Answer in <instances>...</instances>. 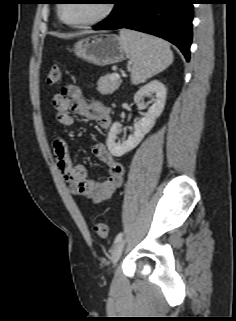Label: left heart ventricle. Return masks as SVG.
Masks as SVG:
<instances>
[{
	"label": "left heart ventricle",
	"instance_id": "1",
	"mask_svg": "<svg viewBox=\"0 0 236 321\" xmlns=\"http://www.w3.org/2000/svg\"><path fill=\"white\" fill-rule=\"evenodd\" d=\"M103 8L102 0H73L64 4L62 14L67 21L80 22L95 18Z\"/></svg>",
	"mask_w": 236,
	"mask_h": 321
}]
</instances>
